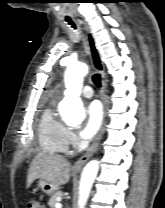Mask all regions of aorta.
Instances as JSON below:
<instances>
[{"label": "aorta", "instance_id": "aorta-1", "mask_svg": "<svg viewBox=\"0 0 165 208\" xmlns=\"http://www.w3.org/2000/svg\"><path fill=\"white\" fill-rule=\"evenodd\" d=\"M88 73V66L83 63L69 64L66 71L65 97L59 104L62 118L67 123L84 119V109L80 99L83 78ZM99 170V161L92 160L84 167L78 193V208H85L93 182Z\"/></svg>", "mask_w": 165, "mask_h": 208}]
</instances>
